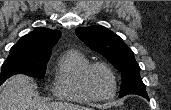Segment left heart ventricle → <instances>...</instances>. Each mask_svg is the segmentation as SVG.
I'll use <instances>...</instances> for the list:
<instances>
[{
	"label": "left heart ventricle",
	"instance_id": "b2bd125f",
	"mask_svg": "<svg viewBox=\"0 0 171 110\" xmlns=\"http://www.w3.org/2000/svg\"><path fill=\"white\" fill-rule=\"evenodd\" d=\"M89 84L97 96L106 97L112 93L113 83L109 73L103 68H95L89 76Z\"/></svg>",
	"mask_w": 171,
	"mask_h": 110
}]
</instances>
